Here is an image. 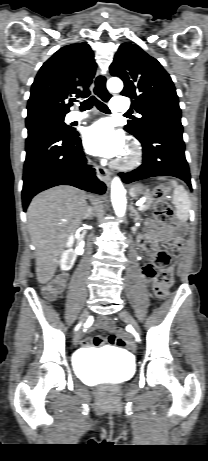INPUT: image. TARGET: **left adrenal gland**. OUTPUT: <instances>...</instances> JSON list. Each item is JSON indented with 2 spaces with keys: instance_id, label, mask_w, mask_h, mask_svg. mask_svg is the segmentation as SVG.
<instances>
[{
  "instance_id": "a2214340",
  "label": "left adrenal gland",
  "mask_w": 208,
  "mask_h": 461,
  "mask_svg": "<svg viewBox=\"0 0 208 461\" xmlns=\"http://www.w3.org/2000/svg\"><path fill=\"white\" fill-rule=\"evenodd\" d=\"M130 211H131V216H135L134 220L135 221H138L140 220V216L138 214V212L134 209V207L132 206V204L130 205Z\"/></svg>"
}]
</instances>
